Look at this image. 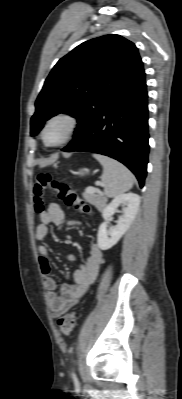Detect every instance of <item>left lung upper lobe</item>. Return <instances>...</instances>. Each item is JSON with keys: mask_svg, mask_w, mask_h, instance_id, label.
<instances>
[{"mask_svg": "<svg viewBox=\"0 0 182 399\" xmlns=\"http://www.w3.org/2000/svg\"><path fill=\"white\" fill-rule=\"evenodd\" d=\"M141 69L136 46L119 35L80 44L61 58L47 77L35 102L31 136L37 135L49 118L66 113L78 122L72 141L81 137L109 99Z\"/></svg>", "mask_w": 182, "mask_h": 399, "instance_id": "obj_1", "label": "left lung upper lobe"}]
</instances>
